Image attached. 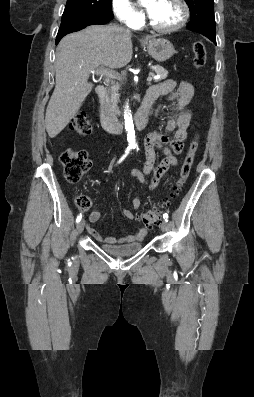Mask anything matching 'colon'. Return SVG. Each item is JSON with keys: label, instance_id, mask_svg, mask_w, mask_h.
I'll list each match as a JSON object with an SVG mask.
<instances>
[{"label": "colon", "instance_id": "colon-1", "mask_svg": "<svg viewBox=\"0 0 254 397\" xmlns=\"http://www.w3.org/2000/svg\"><path fill=\"white\" fill-rule=\"evenodd\" d=\"M192 51L194 54V66L196 68L203 67L206 61V50L204 44L201 41L194 42L192 44ZM69 127L72 132L81 136L90 134L92 129L89 117L85 113L76 115L71 120ZM198 145L199 137L196 136L189 145L187 155L182 164L180 175L176 181L171 197L177 195L186 183L198 150ZM60 159L63 165L64 177L71 184L79 183L83 175L91 167V161L87 152L84 150L67 149L61 154ZM168 202V199L163 200L161 206H166ZM76 204L79 208L86 209L90 205V201L86 196L80 195L76 198ZM159 218L160 211L158 209L149 210L141 215V220L145 225L155 224L159 221Z\"/></svg>", "mask_w": 254, "mask_h": 397}]
</instances>
